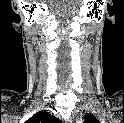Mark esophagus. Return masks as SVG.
<instances>
[{
  "instance_id": "34e87169",
  "label": "esophagus",
  "mask_w": 124,
  "mask_h": 123,
  "mask_svg": "<svg viewBox=\"0 0 124 123\" xmlns=\"http://www.w3.org/2000/svg\"><path fill=\"white\" fill-rule=\"evenodd\" d=\"M69 123H73V121L72 120H69Z\"/></svg>"
}]
</instances>
